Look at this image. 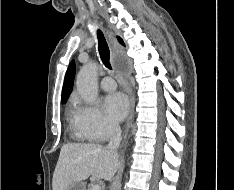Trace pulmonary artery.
I'll return each mask as SVG.
<instances>
[{"instance_id":"1","label":"pulmonary artery","mask_w":234,"mask_h":190,"mask_svg":"<svg viewBox=\"0 0 234 190\" xmlns=\"http://www.w3.org/2000/svg\"><path fill=\"white\" fill-rule=\"evenodd\" d=\"M101 87L105 91H113L114 89H116V82L111 76H105L101 80Z\"/></svg>"}]
</instances>
